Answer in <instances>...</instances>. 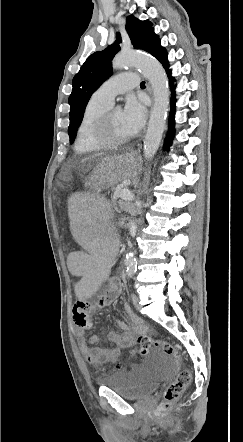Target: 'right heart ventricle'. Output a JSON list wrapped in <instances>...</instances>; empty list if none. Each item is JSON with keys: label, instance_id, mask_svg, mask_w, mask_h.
Returning a JSON list of instances; mask_svg holds the SVG:
<instances>
[{"label": "right heart ventricle", "instance_id": "obj_1", "mask_svg": "<svg viewBox=\"0 0 243 442\" xmlns=\"http://www.w3.org/2000/svg\"><path fill=\"white\" fill-rule=\"evenodd\" d=\"M111 105L96 100L93 96L88 101L82 113L77 129L74 150L86 154L103 149L93 138L92 130L96 120L110 108Z\"/></svg>", "mask_w": 243, "mask_h": 442}]
</instances>
